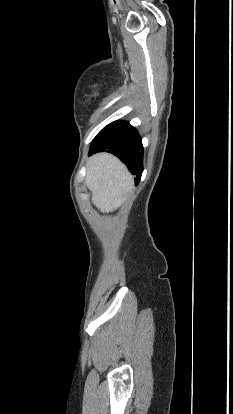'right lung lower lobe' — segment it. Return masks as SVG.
<instances>
[{
    "label": "right lung lower lobe",
    "mask_w": 233,
    "mask_h": 414,
    "mask_svg": "<svg viewBox=\"0 0 233 414\" xmlns=\"http://www.w3.org/2000/svg\"><path fill=\"white\" fill-rule=\"evenodd\" d=\"M101 151L120 158L136 175L135 185H138L143 171V146L133 126L128 122L115 121L103 128L92 142L89 155Z\"/></svg>",
    "instance_id": "98d812e1"
}]
</instances>
